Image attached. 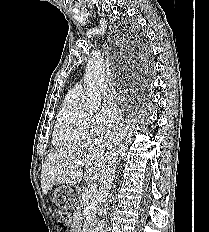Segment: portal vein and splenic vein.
<instances>
[{"label": "portal vein and splenic vein", "mask_w": 209, "mask_h": 232, "mask_svg": "<svg viewBox=\"0 0 209 232\" xmlns=\"http://www.w3.org/2000/svg\"><path fill=\"white\" fill-rule=\"evenodd\" d=\"M74 164L85 166L84 161H75ZM96 192H97V184L96 183H91V185L89 187V190H88L89 196L91 197V196L95 195Z\"/></svg>", "instance_id": "1"}]
</instances>
